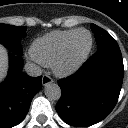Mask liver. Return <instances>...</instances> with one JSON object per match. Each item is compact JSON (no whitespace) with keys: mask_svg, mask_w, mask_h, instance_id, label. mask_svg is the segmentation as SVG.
Listing matches in <instances>:
<instances>
[{"mask_svg":"<svg viewBox=\"0 0 128 128\" xmlns=\"http://www.w3.org/2000/svg\"><path fill=\"white\" fill-rule=\"evenodd\" d=\"M8 70V55L6 49L0 45V82L6 76Z\"/></svg>","mask_w":128,"mask_h":128,"instance_id":"6515ba94","label":"liver"}]
</instances>
